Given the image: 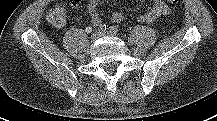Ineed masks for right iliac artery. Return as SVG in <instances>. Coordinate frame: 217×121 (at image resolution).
<instances>
[{
    "label": "right iliac artery",
    "mask_w": 217,
    "mask_h": 121,
    "mask_svg": "<svg viewBox=\"0 0 217 121\" xmlns=\"http://www.w3.org/2000/svg\"><path fill=\"white\" fill-rule=\"evenodd\" d=\"M106 25L105 24H101L99 27H98V31L99 32H104V31H106Z\"/></svg>",
    "instance_id": "1"
}]
</instances>
